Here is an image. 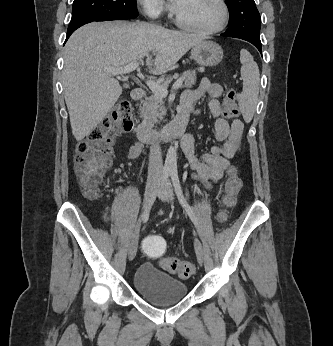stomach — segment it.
Instances as JSON below:
<instances>
[{"label": "stomach", "instance_id": "obj_1", "mask_svg": "<svg viewBox=\"0 0 333 346\" xmlns=\"http://www.w3.org/2000/svg\"><path fill=\"white\" fill-rule=\"evenodd\" d=\"M191 57L201 66L212 67L221 62L223 50L217 43L203 40L192 47Z\"/></svg>", "mask_w": 333, "mask_h": 346}]
</instances>
